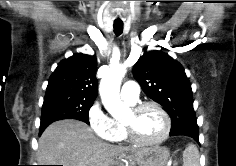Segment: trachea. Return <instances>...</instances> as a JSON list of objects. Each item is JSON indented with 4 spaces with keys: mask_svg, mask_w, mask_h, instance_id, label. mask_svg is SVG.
I'll return each mask as SVG.
<instances>
[{
    "mask_svg": "<svg viewBox=\"0 0 236 166\" xmlns=\"http://www.w3.org/2000/svg\"><path fill=\"white\" fill-rule=\"evenodd\" d=\"M114 33L119 36L123 32V23H114L113 24Z\"/></svg>",
    "mask_w": 236,
    "mask_h": 166,
    "instance_id": "obj_1",
    "label": "trachea"
}]
</instances>
